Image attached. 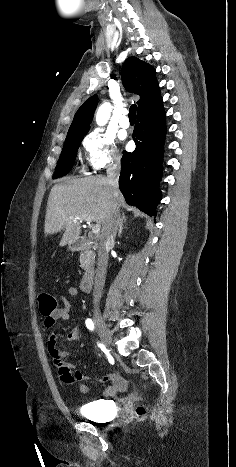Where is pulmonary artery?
I'll return each instance as SVG.
<instances>
[{
    "mask_svg": "<svg viewBox=\"0 0 236 467\" xmlns=\"http://www.w3.org/2000/svg\"><path fill=\"white\" fill-rule=\"evenodd\" d=\"M119 124L123 128H128L130 126V120H129L128 116H127V111L126 110L123 111V114H122V116H121V118L119 120Z\"/></svg>",
    "mask_w": 236,
    "mask_h": 467,
    "instance_id": "1",
    "label": "pulmonary artery"
}]
</instances>
